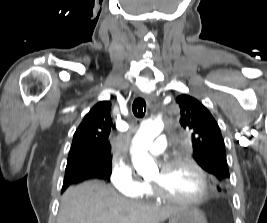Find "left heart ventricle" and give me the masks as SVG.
I'll return each mask as SVG.
<instances>
[{
    "label": "left heart ventricle",
    "mask_w": 267,
    "mask_h": 223,
    "mask_svg": "<svg viewBox=\"0 0 267 223\" xmlns=\"http://www.w3.org/2000/svg\"><path fill=\"white\" fill-rule=\"evenodd\" d=\"M150 182L158 184L167 194L181 199L195 198L203 189L200 176L188 165H179L167 171L159 168Z\"/></svg>",
    "instance_id": "b2bd125f"
}]
</instances>
